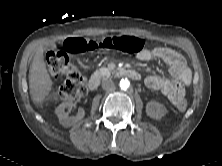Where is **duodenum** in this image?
I'll list each match as a JSON object with an SVG mask.
<instances>
[{
  "mask_svg": "<svg viewBox=\"0 0 222 166\" xmlns=\"http://www.w3.org/2000/svg\"><path fill=\"white\" fill-rule=\"evenodd\" d=\"M120 74L123 76H127L131 79L138 80L140 79V75L137 71L132 69H122L120 71ZM100 85V76L99 75H93L89 78L87 82V87L89 90L94 91L96 90Z\"/></svg>",
  "mask_w": 222,
  "mask_h": 166,
  "instance_id": "obj_1",
  "label": "duodenum"
}]
</instances>
